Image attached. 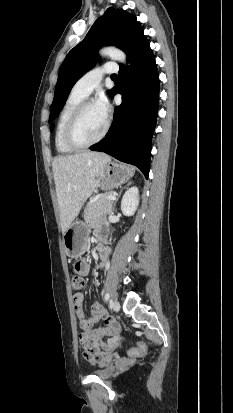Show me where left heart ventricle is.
<instances>
[{
  "instance_id": "1",
  "label": "left heart ventricle",
  "mask_w": 233,
  "mask_h": 413,
  "mask_svg": "<svg viewBox=\"0 0 233 413\" xmlns=\"http://www.w3.org/2000/svg\"><path fill=\"white\" fill-rule=\"evenodd\" d=\"M105 123L106 118L95 104L87 107L77 123L75 129L76 139L82 143L94 140L103 131Z\"/></svg>"
}]
</instances>
